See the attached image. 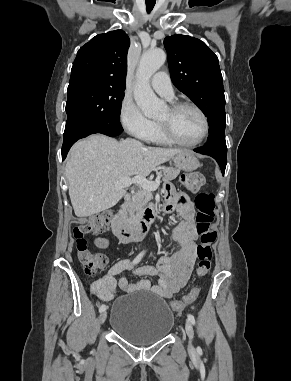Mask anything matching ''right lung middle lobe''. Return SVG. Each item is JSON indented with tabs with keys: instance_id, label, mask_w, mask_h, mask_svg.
Segmentation results:
<instances>
[{
	"instance_id": "obj_1",
	"label": "right lung middle lobe",
	"mask_w": 291,
	"mask_h": 381,
	"mask_svg": "<svg viewBox=\"0 0 291 381\" xmlns=\"http://www.w3.org/2000/svg\"><path fill=\"white\" fill-rule=\"evenodd\" d=\"M124 90L125 87L91 83L69 84L64 136H76L100 124L120 123Z\"/></svg>"
}]
</instances>
